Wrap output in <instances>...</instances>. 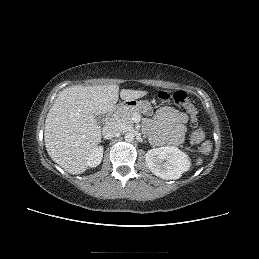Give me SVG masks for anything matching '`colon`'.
<instances>
[{
    "label": "colon",
    "instance_id": "colon-1",
    "mask_svg": "<svg viewBox=\"0 0 259 259\" xmlns=\"http://www.w3.org/2000/svg\"><path fill=\"white\" fill-rule=\"evenodd\" d=\"M156 96L161 100L171 99L175 104L182 106L190 114L188 120L191 124L192 137L189 139V142L192 145H200L199 153L201 155L205 156L209 154L212 149V143L209 140H204L203 131L200 129L199 118L198 115H196V108L191 103L186 93L183 91H176L173 94H169L166 91H158Z\"/></svg>",
    "mask_w": 259,
    "mask_h": 259
}]
</instances>
